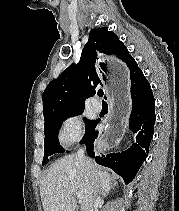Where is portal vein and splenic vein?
<instances>
[{"label":"portal vein and splenic vein","instance_id":"obj_1","mask_svg":"<svg viewBox=\"0 0 179 211\" xmlns=\"http://www.w3.org/2000/svg\"><path fill=\"white\" fill-rule=\"evenodd\" d=\"M75 196H76L78 199H80V200L83 199V197H84L83 194L80 193V192H76V193H75Z\"/></svg>","mask_w":179,"mask_h":211}]
</instances>
